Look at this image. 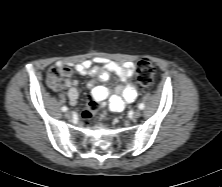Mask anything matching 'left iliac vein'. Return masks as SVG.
<instances>
[{
    "label": "left iliac vein",
    "instance_id": "1",
    "mask_svg": "<svg viewBox=\"0 0 222 187\" xmlns=\"http://www.w3.org/2000/svg\"><path fill=\"white\" fill-rule=\"evenodd\" d=\"M141 116V110L137 109L134 113H133V119H138Z\"/></svg>",
    "mask_w": 222,
    "mask_h": 187
}]
</instances>
